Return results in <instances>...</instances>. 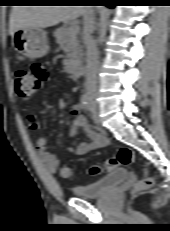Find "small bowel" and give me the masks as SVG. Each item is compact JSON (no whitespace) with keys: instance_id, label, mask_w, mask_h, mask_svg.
I'll return each mask as SVG.
<instances>
[{"instance_id":"1","label":"small bowel","mask_w":170,"mask_h":231,"mask_svg":"<svg viewBox=\"0 0 170 231\" xmlns=\"http://www.w3.org/2000/svg\"><path fill=\"white\" fill-rule=\"evenodd\" d=\"M30 73L37 80L38 84L48 79L46 68L41 62H33L30 66ZM70 113L73 117L70 136L73 138L78 131H81L89 139V141L81 142L76 147H69L68 149L70 151L78 156H82L93 149L102 148L107 144L105 137L88 126L86 119L80 112V105L72 106ZM26 123L28 127L33 130H37L40 126L37 117L33 114L26 116ZM36 149L39 159L45 168L51 172L56 171L59 167V160L56 155L48 151L45 137H39L37 139Z\"/></svg>"}]
</instances>
